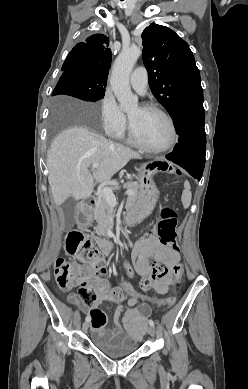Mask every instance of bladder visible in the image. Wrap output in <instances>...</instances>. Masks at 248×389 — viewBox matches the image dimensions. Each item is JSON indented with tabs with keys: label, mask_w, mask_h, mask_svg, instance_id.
Wrapping results in <instances>:
<instances>
[{
	"label": "bladder",
	"mask_w": 248,
	"mask_h": 389,
	"mask_svg": "<svg viewBox=\"0 0 248 389\" xmlns=\"http://www.w3.org/2000/svg\"><path fill=\"white\" fill-rule=\"evenodd\" d=\"M94 346L105 355L120 358L137 351L138 342L127 334H111L108 330H95L92 333Z\"/></svg>",
	"instance_id": "bladder-1"
}]
</instances>
